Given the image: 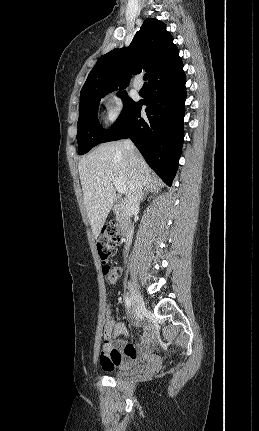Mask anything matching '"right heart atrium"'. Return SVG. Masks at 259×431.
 <instances>
[{
  "mask_svg": "<svg viewBox=\"0 0 259 431\" xmlns=\"http://www.w3.org/2000/svg\"><path fill=\"white\" fill-rule=\"evenodd\" d=\"M102 102L105 108L104 121L107 125H116L123 116L125 110V102L122 95L117 91L107 92Z\"/></svg>",
  "mask_w": 259,
  "mask_h": 431,
  "instance_id": "d8ad5b80",
  "label": "right heart atrium"
}]
</instances>
